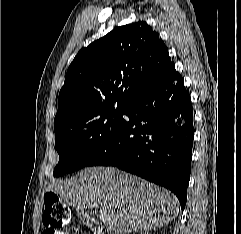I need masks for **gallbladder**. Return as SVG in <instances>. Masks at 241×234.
I'll return each mask as SVG.
<instances>
[{
	"label": "gallbladder",
	"instance_id": "obj_1",
	"mask_svg": "<svg viewBox=\"0 0 241 234\" xmlns=\"http://www.w3.org/2000/svg\"><path fill=\"white\" fill-rule=\"evenodd\" d=\"M78 216L80 217V219H81L84 223H86V224L89 225V219H90V217H89L83 210L78 211Z\"/></svg>",
	"mask_w": 241,
	"mask_h": 234
}]
</instances>
